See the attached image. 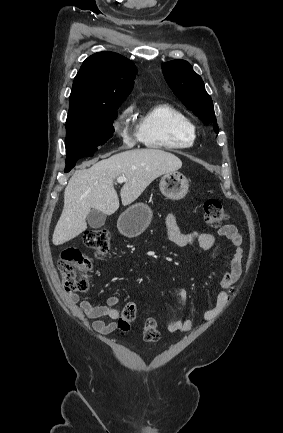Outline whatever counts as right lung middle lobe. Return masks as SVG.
I'll return each mask as SVG.
<instances>
[{"instance_id":"right-lung-middle-lobe-1","label":"right lung middle lobe","mask_w":283,"mask_h":433,"mask_svg":"<svg viewBox=\"0 0 283 433\" xmlns=\"http://www.w3.org/2000/svg\"><path fill=\"white\" fill-rule=\"evenodd\" d=\"M120 105L69 109L66 120V155H93L112 137Z\"/></svg>"}]
</instances>
